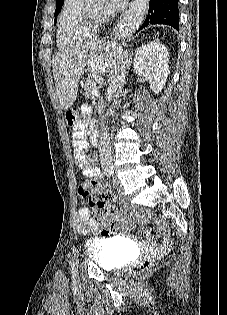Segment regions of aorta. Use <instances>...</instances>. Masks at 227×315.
I'll return each instance as SVG.
<instances>
[{"label": "aorta", "mask_w": 227, "mask_h": 315, "mask_svg": "<svg viewBox=\"0 0 227 315\" xmlns=\"http://www.w3.org/2000/svg\"><path fill=\"white\" fill-rule=\"evenodd\" d=\"M131 31L132 29L129 26H127V24H124L119 29V35L123 38V37H126ZM109 140L110 138H109V133H108V126L106 125L103 128V131L100 137V159L105 160L107 163H112L111 147H110Z\"/></svg>", "instance_id": "obj_1"}]
</instances>
